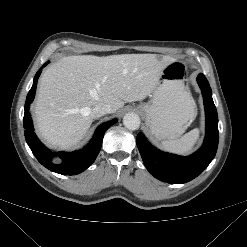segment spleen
<instances>
[{
  "mask_svg": "<svg viewBox=\"0 0 247 247\" xmlns=\"http://www.w3.org/2000/svg\"><path fill=\"white\" fill-rule=\"evenodd\" d=\"M189 104H194L193 100L191 99L190 95L187 96ZM200 130L195 128L190 132L186 133L179 139L175 140H166L162 142V147L168 151L175 154H187L189 153L194 145L196 144L197 140L199 139Z\"/></svg>",
  "mask_w": 247,
  "mask_h": 247,
  "instance_id": "spleen-1",
  "label": "spleen"
}]
</instances>
